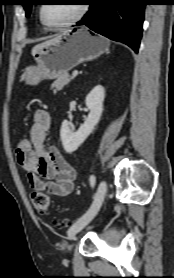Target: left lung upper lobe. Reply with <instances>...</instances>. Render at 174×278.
<instances>
[{
    "mask_svg": "<svg viewBox=\"0 0 174 278\" xmlns=\"http://www.w3.org/2000/svg\"><path fill=\"white\" fill-rule=\"evenodd\" d=\"M22 5L24 6V9L26 11V16L29 17L31 12V7L33 4H35V0H22Z\"/></svg>",
    "mask_w": 174,
    "mask_h": 278,
    "instance_id": "obj_1",
    "label": "left lung upper lobe"
}]
</instances>
